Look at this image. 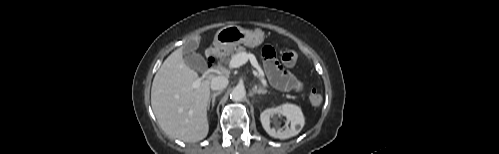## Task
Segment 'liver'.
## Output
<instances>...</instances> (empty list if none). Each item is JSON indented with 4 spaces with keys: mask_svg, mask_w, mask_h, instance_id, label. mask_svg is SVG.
Returning a JSON list of instances; mask_svg holds the SVG:
<instances>
[{
    "mask_svg": "<svg viewBox=\"0 0 499 154\" xmlns=\"http://www.w3.org/2000/svg\"><path fill=\"white\" fill-rule=\"evenodd\" d=\"M198 79L185 63L183 47L166 58L153 79L151 106L161 129L172 138L198 142L208 134L210 81L201 80L193 88Z\"/></svg>",
    "mask_w": 499,
    "mask_h": 154,
    "instance_id": "6515ba94",
    "label": "liver"
}]
</instances>
